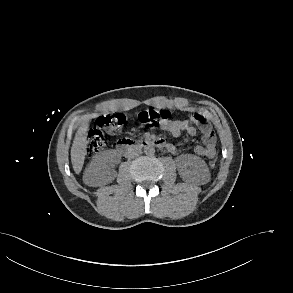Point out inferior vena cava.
Listing matches in <instances>:
<instances>
[{
	"label": "inferior vena cava",
	"instance_id": "1",
	"mask_svg": "<svg viewBox=\"0 0 293 293\" xmlns=\"http://www.w3.org/2000/svg\"><path fill=\"white\" fill-rule=\"evenodd\" d=\"M139 154H141V148L138 147V146H133L128 154H127V157L129 158H134V157H137Z\"/></svg>",
	"mask_w": 293,
	"mask_h": 293
}]
</instances>
